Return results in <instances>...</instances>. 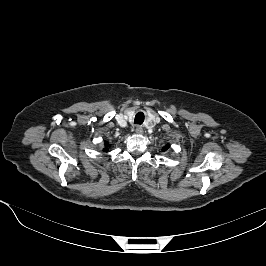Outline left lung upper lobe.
I'll use <instances>...</instances> for the list:
<instances>
[{
    "instance_id": "5c2ea615",
    "label": "left lung upper lobe",
    "mask_w": 266,
    "mask_h": 266,
    "mask_svg": "<svg viewBox=\"0 0 266 266\" xmlns=\"http://www.w3.org/2000/svg\"><path fill=\"white\" fill-rule=\"evenodd\" d=\"M169 148V145H166L165 147H163V151H166Z\"/></svg>"
}]
</instances>
